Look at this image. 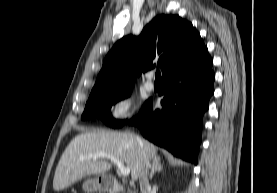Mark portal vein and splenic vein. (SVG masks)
<instances>
[{"label": "portal vein and splenic vein", "mask_w": 277, "mask_h": 193, "mask_svg": "<svg viewBox=\"0 0 277 193\" xmlns=\"http://www.w3.org/2000/svg\"><path fill=\"white\" fill-rule=\"evenodd\" d=\"M89 158H93V159L108 158V159H110L111 161L114 162V164L118 167L120 173L123 176H128L130 174V168L129 167L124 166L123 162H121L119 159H117L116 157H114V156H112L108 153L98 152V153H95L93 155H90Z\"/></svg>", "instance_id": "obj_1"}]
</instances>
